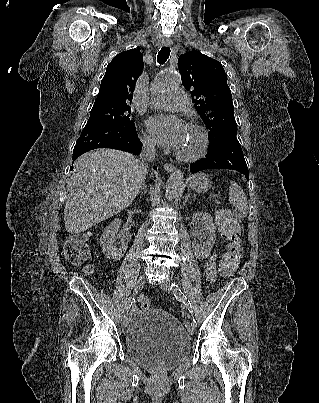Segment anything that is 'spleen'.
Returning a JSON list of instances; mask_svg holds the SVG:
<instances>
[{
	"mask_svg": "<svg viewBox=\"0 0 319 403\" xmlns=\"http://www.w3.org/2000/svg\"><path fill=\"white\" fill-rule=\"evenodd\" d=\"M229 200L235 207V217L244 218L248 213V200L243 189L233 181H230Z\"/></svg>",
	"mask_w": 319,
	"mask_h": 403,
	"instance_id": "3e777b00",
	"label": "spleen"
}]
</instances>
